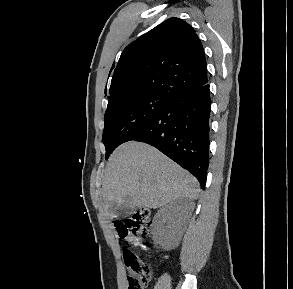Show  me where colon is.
I'll use <instances>...</instances> for the list:
<instances>
[{
	"mask_svg": "<svg viewBox=\"0 0 293 289\" xmlns=\"http://www.w3.org/2000/svg\"><path fill=\"white\" fill-rule=\"evenodd\" d=\"M119 238L127 240L142 250H148L151 245L142 237L148 236L151 231V220L148 211L137 210L123 221L115 223ZM124 260L128 269L127 289H145L152 279L149 264L139 259L131 250L123 251Z\"/></svg>",
	"mask_w": 293,
	"mask_h": 289,
	"instance_id": "1",
	"label": "colon"
}]
</instances>
